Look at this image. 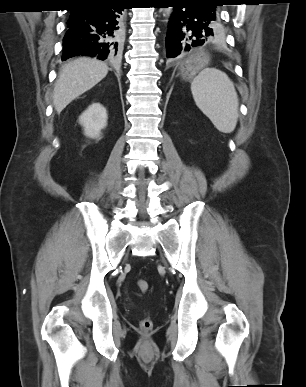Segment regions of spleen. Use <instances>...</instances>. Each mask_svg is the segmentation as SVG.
Masks as SVG:
<instances>
[{"label":"spleen","instance_id":"1","mask_svg":"<svg viewBox=\"0 0 306 387\" xmlns=\"http://www.w3.org/2000/svg\"><path fill=\"white\" fill-rule=\"evenodd\" d=\"M191 91L198 108L223 133H231L238 121L239 101L233 82L222 71L203 69L192 81Z\"/></svg>","mask_w":306,"mask_h":387}]
</instances>
